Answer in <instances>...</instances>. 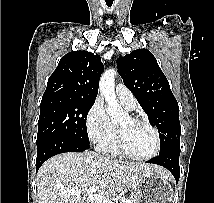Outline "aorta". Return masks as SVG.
<instances>
[{"instance_id":"762f6f07","label":"aorta","mask_w":214,"mask_h":203,"mask_svg":"<svg viewBox=\"0 0 214 203\" xmlns=\"http://www.w3.org/2000/svg\"><path fill=\"white\" fill-rule=\"evenodd\" d=\"M115 69H107L101 76L99 89L101 95L107 102V113L112 121H117L125 117V112L118 104L115 95Z\"/></svg>"}]
</instances>
